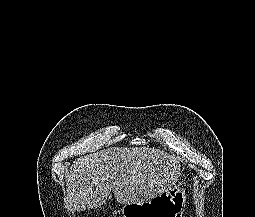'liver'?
Segmentation results:
<instances>
[{
  "instance_id": "1",
  "label": "liver",
  "mask_w": 255,
  "mask_h": 217,
  "mask_svg": "<svg viewBox=\"0 0 255 217\" xmlns=\"http://www.w3.org/2000/svg\"><path fill=\"white\" fill-rule=\"evenodd\" d=\"M180 171L179 158L159 149L107 148L73 162L67 173L66 207H100L111 190L120 204L146 202L174 186Z\"/></svg>"
}]
</instances>
